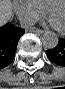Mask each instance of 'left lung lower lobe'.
<instances>
[{
	"label": "left lung lower lobe",
	"mask_w": 65,
	"mask_h": 89,
	"mask_svg": "<svg viewBox=\"0 0 65 89\" xmlns=\"http://www.w3.org/2000/svg\"><path fill=\"white\" fill-rule=\"evenodd\" d=\"M46 53L53 63L65 67V38L60 39L58 45L54 49L46 51Z\"/></svg>",
	"instance_id": "left-lung-lower-lobe-1"
}]
</instances>
